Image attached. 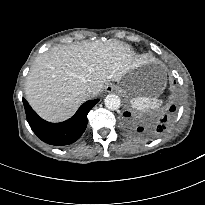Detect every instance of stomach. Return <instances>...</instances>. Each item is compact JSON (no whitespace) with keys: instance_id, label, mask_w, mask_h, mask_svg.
Here are the masks:
<instances>
[{"instance_id":"0dacf381","label":"stomach","mask_w":205,"mask_h":205,"mask_svg":"<svg viewBox=\"0 0 205 205\" xmlns=\"http://www.w3.org/2000/svg\"><path fill=\"white\" fill-rule=\"evenodd\" d=\"M149 65L140 66L130 70L118 83L117 88L126 96H145L155 98L159 96L164 88V81L148 79L146 69Z\"/></svg>"}]
</instances>
